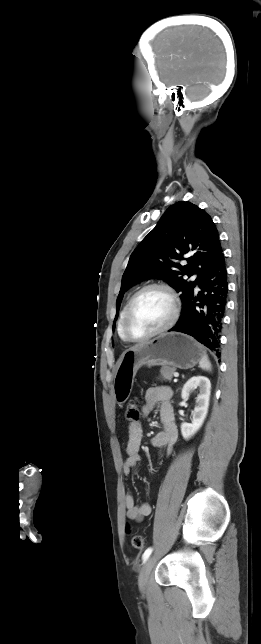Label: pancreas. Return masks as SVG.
<instances>
[{
    "mask_svg": "<svg viewBox=\"0 0 261 644\" xmlns=\"http://www.w3.org/2000/svg\"><path fill=\"white\" fill-rule=\"evenodd\" d=\"M161 376L164 380L171 381L175 373V369L171 367H163L160 371Z\"/></svg>",
    "mask_w": 261,
    "mask_h": 644,
    "instance_id": "obj_1",
    "label": "pancreas"
}]
</instances>
